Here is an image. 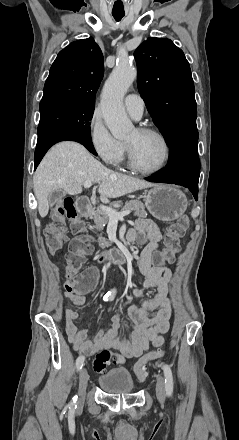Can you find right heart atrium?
Instances as JSON below:
<instances>
[{"label":"right heart atrium","mask_w":239,"mask_h":440,"mask_svg":"<svg viewBox=\"0 0 239 440\" xmlns=\"http://www.w3.org/2000/svg\"><path fill=\"white\" fill-rule=\"evenodd\" d=\"M88 138L98 156L109 166H118L124 159L125 143L108 130L103 118L94 113L88 126Z\"/></svg>","instance_id":"right-heart-atrium-1"}]
</instances>
